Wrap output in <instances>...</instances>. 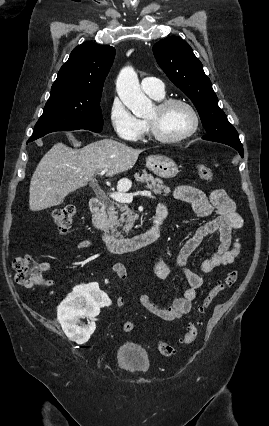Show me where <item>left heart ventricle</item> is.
I'll return each mask as SVG.
<instances>
[{"label":"left heart ventricle","instance_id":"b2bd125f","mask_svg":"<svg viewBox=\"0 0 269 426\" xmlns=\"http://www.w3.org/2000/svg\"><path fill=\"white\" fill-rule=\"evenodd\" d=\"M146 119L154 122L160 132L169 137L182 135L193 125L190 111L182 105H173L162 113L154 107Z\"/></svg>","mask_w":269,"mask_h":426}]
</instances>
